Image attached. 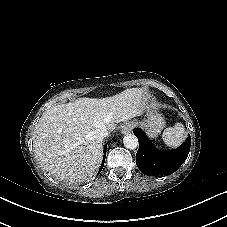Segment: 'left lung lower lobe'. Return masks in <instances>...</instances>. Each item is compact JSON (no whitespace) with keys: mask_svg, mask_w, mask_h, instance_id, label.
Wrapping results in <instances>:
<instances>
[{"mask_svg":"<svg viewBox=\"0 0 227 227\" xmlns=\"http://www.w3.org/2000/svg\"><path fill=\"white\" fill-rule=\"evenodd\" d=\"M133 133L139 141L136 164L145 175H170L187 159L191 146L190 135L178 149L162 151L152 145L142 130L136 128Z\"/></svg>","mask_w":227,"mask_h":227,"instance_id":"0a47b994","label":"left lung lower lobe"}]
</instances>
